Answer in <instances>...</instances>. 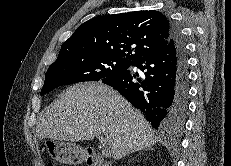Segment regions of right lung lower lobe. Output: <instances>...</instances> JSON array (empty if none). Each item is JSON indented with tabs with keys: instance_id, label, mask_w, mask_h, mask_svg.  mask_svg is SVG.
Masks as SVG:
<instances>
[{
	"instance_id": "right-lung-lower-lobe-1",
	"label": "right lung lower lobe",
	"mask_w": 231,
	"mask_h": 166,
	"mask_svg": "<svg viewBox=\"0 0 231 166\" xmlns=\"http://www.w3.org/2000/svg\"><path fill=\"white\" fill-rule=\"evenodd\" d=\"M171 25V40L166 47L132 62L144 71L142 78L127 69L101 80L118 90L144 113L153 128L165 135L182 129L189 91L185 42L177 26Z\"/></svg>"
}]
</instances>
